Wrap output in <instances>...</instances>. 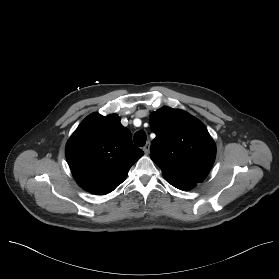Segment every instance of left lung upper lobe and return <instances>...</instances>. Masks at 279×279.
Returning <instances> with one entry per match:
<instances>
[{
    "instance_id": "1",
    "label": "left lung upper lobe",
    "mask_w": 279,
    "mask_h": 279,
    "mask_svg": "<svg viewBox=\"0 0 279 279\" xmlns=\"http://www.w3.org/2000/svg\"><path fill=\"white\" fill-rule=\"evenodd\" d=\"M150 128L156 134L150 157L163 176L194 183L206 178L216 146L198 119L183 110L162 107L151 113Z\"/></svg>"
}]
</instances>
